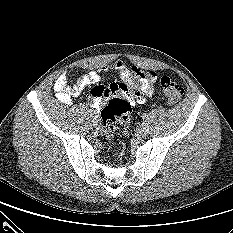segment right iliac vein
I'll return each mask as SVG.
<instances>
[{
    "label": "right iliac vein",
    "mask_w": 233,
    "mask_h": 233,
    "mask_svg": "<svg viewBox=\"0 0 233 233\" xmlns=\"http://www.w3.org/2000/svg\"><path fill=\"white\" fill-rule=\"evenodd\" d=\"M92 123L95 127H97L99 125V119L97 116L93 117L92 119Z\"/></svg>",
    "instance_id": "1"
}]
</instances>
